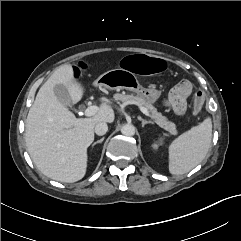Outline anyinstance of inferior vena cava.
I'll use <instances>...</instances> for the list:
<instances>
[{
    "label": "inferior vena cava",
    "mask_w": 241,
    "mask_h": 241,
    "mask_svg": "<svg viewBox=\"0 0 241 241\" xmlns=\"http://www.w3.org/2000/svg\"><path fill=\"white\" fill-rule=\"evenodd\" d=\"M108 131V126L106 122H99L95 126V133L99 136L106 134Z\"/></svg>",
    "instance_id": "obj_1"
}]
</instances>
